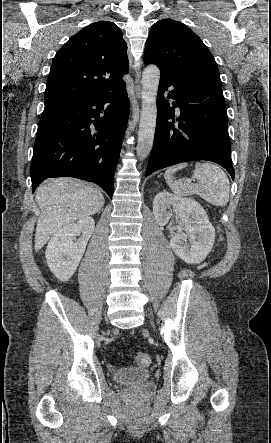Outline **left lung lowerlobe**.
Returning a JSON list of instances; mask_svg holds the SVG:
<instances>
[{
	"label": "left lung lower lobe",
	"mask_w": 271,
	"mask_h": 443,
	"mask_svg": "<svg viewBox=\"0 0 271 443\" xmlns=\"http://www.w3.org/2000/svg\"><path fill=\"white\" fill-rule=\"evenodd\" d=\"M154 145L145 176L182 162L207 160L220 164L234 180L227 113L221 82L161 67ZM173 100L172 107L165 99ZM180 109L176 117L175 108ZM172 120V121H168Z\"/></svg>",
	"instance_id": "obj_1"
}]
</instances>
